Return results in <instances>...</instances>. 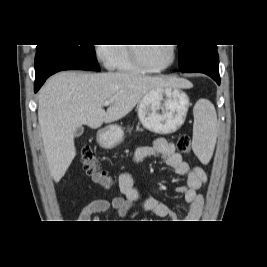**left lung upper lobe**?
<instances>
[{
    "instance_id": "left-lung-upper-lobe-1",
    "label": "left lung upper lobe",
    "mask_w": 267,
    "mask_h": 267,
    "mask_svg": "<svg viewBox=\"0 0 267 267\" xmlns=\"http://www.w3.org/2000/svg\"><path fill=\"white\" fill-rule=\"evenodd\" d=\"M180 57V70L184 71L191 63L197 60L200 56L217 51L216 45H178Z\"/></svg>"
}]
</instances>
